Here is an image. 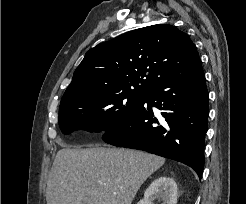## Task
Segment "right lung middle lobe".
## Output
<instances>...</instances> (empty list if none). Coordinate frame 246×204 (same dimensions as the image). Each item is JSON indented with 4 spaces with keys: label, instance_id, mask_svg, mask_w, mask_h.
Returning <instances> with one entry per match:
<instances>
[{
    "label": "right lung middle lobe",
    "instance_id": "obj_1",
    "mask_svg": "<svg viewBox=\"0 0 246 204\" xmlns=\"http://www.w3.org/2000/svg\"><path fill=\"white\" fill-rule=\"evenodd\" d=\"M141 95L133 92L100 95L64 105L59 108L60 129L63 134L82 129L103 135L129 118Z\"/></svg>",
    "mask_w": 246,
    "mask_h": 204
}]
</instances>
